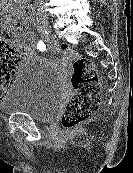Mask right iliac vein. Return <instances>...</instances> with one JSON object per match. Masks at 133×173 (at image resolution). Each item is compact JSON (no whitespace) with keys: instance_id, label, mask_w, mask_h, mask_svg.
<instances>
[{"instance_id":"obj_1","label":"right iliac vein","mask_w":133,"mask_h":173,"mask_svg":"<svg viewBox=\"0 0 133 173\" xmlns=\"http://www.w3.org/2000/svg\"><path fill=\"white\" fill-rule=\"evenodd\" d=\"M36 15H37V18L39 19L41 25L44 27V29L46 30V32L49 35L51 27H50L48 17L42 11H37Z\"/></svg>"}]
</instances>
